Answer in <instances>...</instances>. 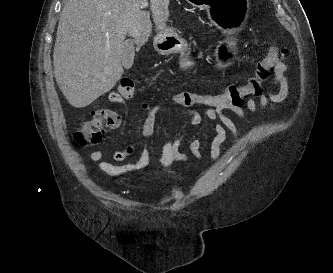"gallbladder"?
Wrapping results in <instances>:
<instances>
[{"label":"gallbladder","instance_id":"1","mask_svg":"<svg viewBox=\"0 0 333 273\" xmlns=\"http://www.w3.org/2000/svg\"><path fill=\"white\" fill-rule=\"evenodd\" d=\"M134 43L129 39L122 44L121 49V63L125 69H130L134 61Z\"/></svg>","mask_w":333,"mask_h":273}]
</instances>
